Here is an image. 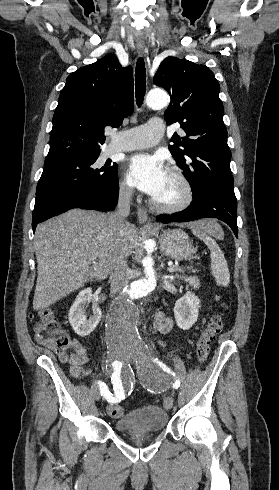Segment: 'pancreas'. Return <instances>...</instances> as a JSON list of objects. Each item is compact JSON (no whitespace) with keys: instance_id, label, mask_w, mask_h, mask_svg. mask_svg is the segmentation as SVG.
I'll list each match as a JSON object with an SVG mask.
<instances>
[{"instance_id":"1","label":"pancreas","mask_w":279,"mask_h":490,"mask_svg":"<svg viewBox=\"0 0 279 490\" xmlns=\"http://www.w3.org/2000/svg\"><path fill=\"white\" fill-rule=\"evenodd\" d=\"M180 272H185V270H182L180 268ZM177 278H181V280H185V282H189L190 286H195V288H199V280L197 278H192V276H189V278H185V276H179V274H175Z\"/></svg>"}]
</instances>
